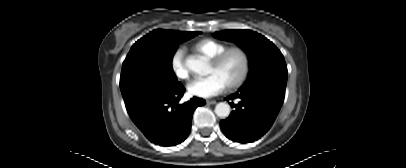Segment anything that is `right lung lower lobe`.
<instances>
[{
  "mask_svg": "<svg viewBox=\"0 0 406 168\" xmlns=\"http://www.w3.org/2000/svg\"><path fill=\"white\" fill-rule=\"evenodd\" d=\"M184 92L185 88L180 83L170 92L129 114L151 142L160 146H175L189 135L194 110L206 102L194 97L184 104H178Z\"/></svg>",
  "mask_w": 406,
  "mask_h": 168,
  "instance_id": "right-lung-lower-lobe-1",
  "label": "right lung lower lobe"
}]
</instances>
